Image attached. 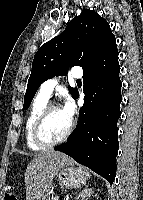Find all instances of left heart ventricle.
Wrapping results in <instances>:
<instances>
[{
  "mask_svg": "<svg viewBox=\"0 0 143 200\" xmlns=\"http://www.w3.org/2000/svg\"><path fill=\"white\" fill-rule=\"evenodd\" d=\"M69 125L70 120L62 109H54L44 124L43 135L48 140H56L66 132Z\"/></svg>",
  "mask_w": 143,
  "mask_h": 200,
  "instance_id": "b2bd125f",
  "label": "left heart ventricle"
}]
</instances>
